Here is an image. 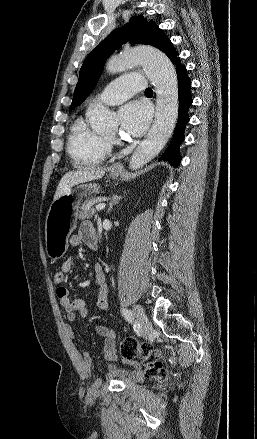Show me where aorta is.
I'll return each instance as SVG.
<instances>
[{
	"instance_id": "aorta-1",
	"label": "aorta",
	"mask_w": 257,
	"mask_h": 439,
	"mask_svg": "<svg viewBox=\"0 0 257 439\" xmlns=\"http://www.w3.org/2000/svg\"><path fill=\"white\" fill-rule=\"evenodd\" d=\"M140 64L146 76L155 86V120L146 138L134 151L130 168L135 170L151 161L166 145L178 117V81L176 70L169 58L153 47H139L125 50L111 58L106 70L119 73ZM91 128L97 133H110L115 125L114 115L102 105L89 108L86 112Z\"/></svg>"
}]
</instances>
